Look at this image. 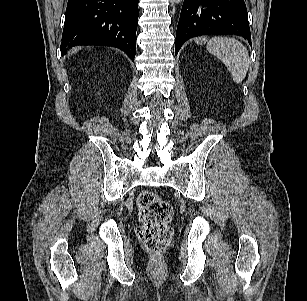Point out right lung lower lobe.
Returning <instances> with one entry per match:
<instances>
[{"label": "right lung lower lobe", "instance_id": "1", "mask_svg": "<svg viewBox=\"0 0 307 301\" xmlns=\"http://www.w3.org/2000/svg\"><path fill=\"white\" fill-rule=\"evenodd\" d=\"M139 0H68L61 54L76 45L124 50L134 61Z\"/></svg>", "mask_w": 307, "mask_h": 301}]
</instances>
